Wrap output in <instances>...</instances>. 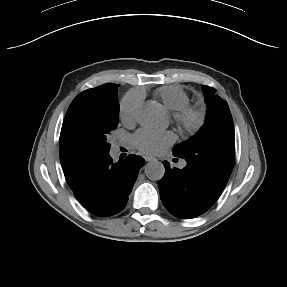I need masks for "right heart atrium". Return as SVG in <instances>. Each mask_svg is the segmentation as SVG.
Here are the masks:
<instances>
[{
    "mask_svg": "<svg viewBox=\"0 0 287 287\" xmlns=\"http://www.w3.org/2000/svg\"><path fill=\"white\" fill-rule=\"evenodd\" d=\"M140 98L137 95H127L120 103V115L124 122L135 121L140 114Z\"/></svg>",
    "mask_w": 287,
    "mask_h": 287,
    "instance_id": "right-heart-atrium-1",
    "label": "right heart atrium"
}]
</instances>
